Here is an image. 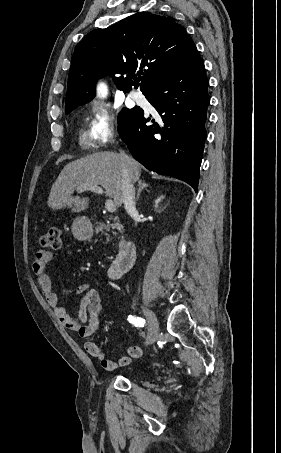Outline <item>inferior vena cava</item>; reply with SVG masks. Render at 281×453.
Instances as JSON below:
<instances>
[{"instance_id": "obj_1", "label": "inferior vena cava", "mask_w": 281, "mask_h": 453, "mask_svg": "<svg viewBox=\"0 0 281 453\" xmlns=\"http://www.w3.org/2000/svg\"><path fill=\"white\" fill-rule=\"evenodd\" d=\"M120 156L123 164L129 160V156L126 152H124V150H121ZM121 182L124 206L128 214H137L138 210L135 204V186L129 178V172L126 166H123Z\"/></svg>"}]
</instances>
